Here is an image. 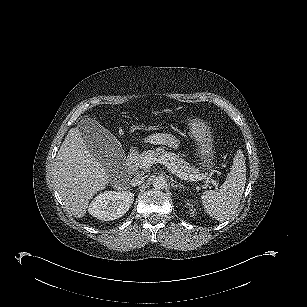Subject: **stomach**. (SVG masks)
<instances>
[{"instance_id":"0dacf381","label":"stomach","mask_w":307,"mask_h":307,"mask_svg":"<svg viewBox=\"0 0 307 307\" xmlns=\"http://www.w3.org/2000/svg\"><path fill=\"white\" fill-rule=\"evenodd\" d=\"M189 127L190 135L197 142V152L202 162L203 167H207L211 170L213 167V150H212V138L204 120L197 117H190L186 120Z\"/></svg>"}]
</instances>
